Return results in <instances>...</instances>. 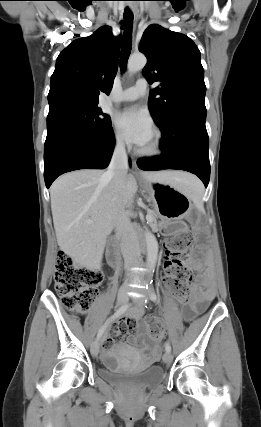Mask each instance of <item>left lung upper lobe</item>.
<instances>
[{
  "instance_id": "obj_1",
  "label": "left lung upper lobe",
  "mask_w": 261,
  "mask_h": 427,
  "mask_svg": "<svg viewBox=\"0 0 261 427\" xmlns=\"http://www.w3.org/2000/svg\"><path fill=\"white\" fill-rule=\"evenodd\" d=\"M139 50L147 57L143 76L149 83L161 82L148 100L158 126L179 107L205 109L204 69L200 51L189 37L152 24L144 31Z\"/></svg>"
}]
</instances>
